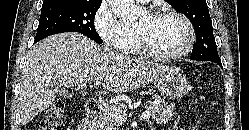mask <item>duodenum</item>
<instances>
[{"instance_id": "obj_1", "label": "duodenum", "mask_w": 249, "mask_h": 130, "mask_svg": "<svg viewBox=\"0 0 249 130\" xmlns=\"http://www.w3.org/2000/svg\"><path fill=\"white\" fill-rule=\"evenodd\" d=\"M102 111V105L96 98H90L85 104V115L78 130H97L96 118Z\"/></svg>"}]
</instances>
